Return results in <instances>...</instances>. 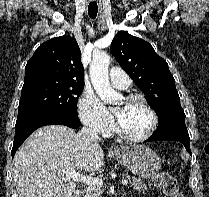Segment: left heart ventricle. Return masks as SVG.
Returning a JSON list of instances; mask_svg holds the SVG:
<instances>
[{"instance_id":"obj_1","label":"left heart ventricle","mask_w":209,"mask_h":197,"mask_svg":"<svg viewBox=\"0 0 209 197\" xmlns=\"http://www.w3.org/2000/svg\"><path fill=\"white\" fill-rule=\"evenodd\" d=\"M114 112L121 128L131 136L144 134L151 124V116L140 102L122 100Z\"/></svg>"}]
</instances>
